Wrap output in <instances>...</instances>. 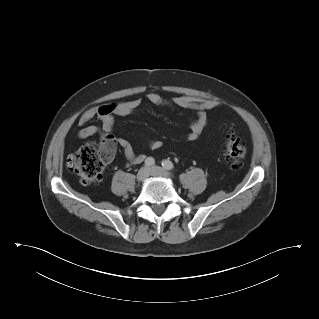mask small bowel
Masks as SVG:
<instances>
[{"label": "small bowel", "instance_id": "obj_1", "mask_svg": "<svg viewBox=\"0 0 319 319\" xmlns=\"http://www.w3.org/2000/svg\"><path fill=\"white\" fill-rule=\"evenodd\" d=\"M146 100L154 105H166L170 102L182 108L193 110L197 113V118L190 123L189 132L186 139L190 142L196 141L203 130L209 125L207 112L220 107V102L214 99H207L194 96H176L168 101L157 92H149L146 95ZM142 101L139 98L119 102L107 103L100 106H93L88 108L81 115L79 125L81 129L77 136L80 139H86L94 135H100L101 139L108 136L114 128L115 118L117 116H126L134 112ZM99 119L102 123L101 127L88 125L92 120ZM118 146L122 149L126 159L134 164L144 161L145 156L135 152L131 143L124 139H117ZM150 147L152 149H159L162 143L158 139H151Z\"/></svg>", "mask_w": 319, "mask_h": 319}]
</instances>
